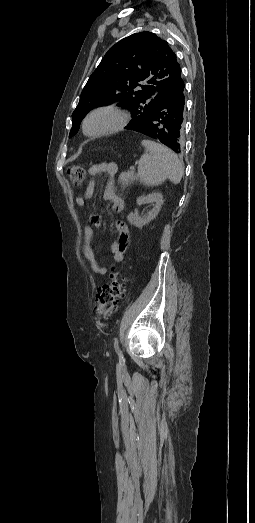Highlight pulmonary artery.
Masks as SVG:
<instances>
[{
  "mask_svg": "<svg viewBox=\"0 0 255 523\" xmlns=\"http://www.w3.org/2000/svg\"><path fill=\"white\" fill-rule=\"evenodd\" d=\"M156 105H159V102H156Z\"/></svg>",
  "mask_w": 255,
  "mask_h": 523,
  "instance_id": "e3ab8cb5",
  "label": "pulmonary artery"
}]
</instances>
